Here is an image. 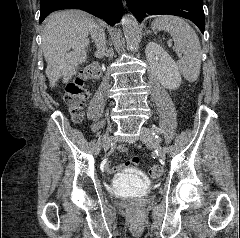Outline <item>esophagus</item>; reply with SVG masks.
<instances>
[{
  "label": "esophagus",
  "mask_w": 240,
  "mask_h": 238,
  "mask_svg": "<svg viewBox=\"0 0 240 238\" xmlns=\"http://www.w3.org/2000/svg\"><path fill=\"white\" fill-rule=\"evenodd\" d=\"M123 4H124V6L126 5L125 0H123Z\"/></svg>",
  "instance_id": "34e87169"
}]
</instances>
